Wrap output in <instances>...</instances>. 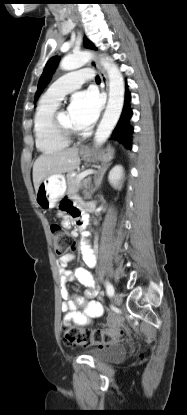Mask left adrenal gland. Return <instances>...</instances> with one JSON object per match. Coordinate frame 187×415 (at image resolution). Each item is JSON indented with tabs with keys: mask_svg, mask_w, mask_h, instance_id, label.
Wrapping results in <instances>:
<instances>
[{
	"mask_svg": "<svg viewBox=\"0 0 187 415\" xmlns=\"http://www.w3.org/2000/svg\"><path fill=\"white\" fill-rule=\"evenodd\" d=\"M111 165V163L109 164H104L102 166V168L99 170V173L97 176H95V188H99L103 179V176L106 172V170L108 169V167Z\"/></svg>",
	"mask_w": 187,
	"mask_h": 415,
	"instance_id": "obj_1",
	"label": "left adrenal gland"
}]
</instances>
